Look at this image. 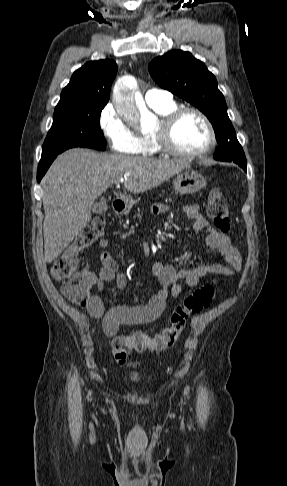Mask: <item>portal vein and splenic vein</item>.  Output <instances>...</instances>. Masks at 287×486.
Returning <instances> with one entry per match:
<instances>
[{
	"mask_svg": "<svg viewBox=\"0 0 287 486\" xmlns=\"http://www.w3.org/2000/svg\"><path fill=\"white\" fill-rule=\"evenodd\" d=\"M122 182H124V179H123V178H121V179H120V180H118V181H115L114 183L118 185L119 183H122Z\"/></svg>",
	"mask_w": 287,
	"mask_h": 486,
	"instance_id": "18ae733b",
	"label": "portal vein and splenic vein"
}]
</instances>
